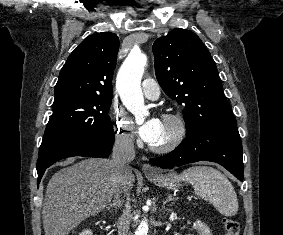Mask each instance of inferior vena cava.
I'll list each match as a JSON object with an SVG mask.
<instances>
[{"label":"inferior vena cava","mask_w":283,"mask_h":235,"mask_svg":"<svg viewBox=\"0 0 283 235\" xmlns=\"http://www.w3.org/2000/svg\"><path fill=\"white\" fill-rule=\"evenodd\" d=\"M135 158V149L133 136L130 134H122L116 137L112 157L111 164L116 173V189L115 193L117 194L119 188L122 189L126 196V205L123 210L122 215L118 219L117 227H118V235H128L130 222H131V206L130 199L128 195V189L125 184V177L131 171L130 162Z\"/></svg>","instance_id":"inferior-vena-cava-1"}]
</instances>
